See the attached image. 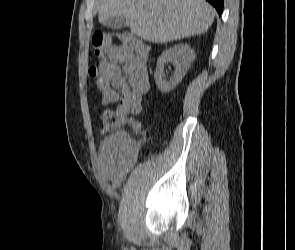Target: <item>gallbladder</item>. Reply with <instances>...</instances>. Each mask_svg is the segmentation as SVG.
<instances>
[{
	"label": "gallbladder",
	"instance_id": "gallbladder-1",
	"mask_svg": "<svg viewBox=\"0 0 295 250\" xmlns=\"http://www.w3.org/2000/svg\"><path fill=\"white\" fill-rule=\"evenodd\" d=\"M102 24L103 26L113 30H120L127 25L126 19L124 17L119 16L110 17L106 19Z\"/></svg>",
	"mask_w": 295,
	"mask_h": 250
}]
</instances>
